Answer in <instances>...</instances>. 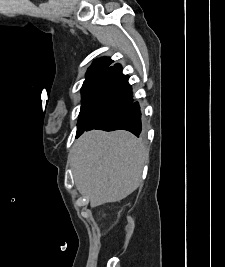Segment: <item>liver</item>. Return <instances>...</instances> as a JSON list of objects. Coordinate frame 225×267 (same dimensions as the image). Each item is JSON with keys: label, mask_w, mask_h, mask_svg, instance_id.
Here are the masks:
<instances>
[{"label": "liver", "mask_w": 225, "mask_h": 267, "mask_svg": "<svg viewBox=\"0 0 225 267\" xmlns=\"http://www.w3.org/2000/svg\"><path fill=\"white\" fill-rule=\"evenodd\" d=\"M147 159L148 150L130 132L92 130L75 142L70 165L78 191L95 208L135 191Z\"/></svg>", "instance_id": "obj_1"}]
</instances>
